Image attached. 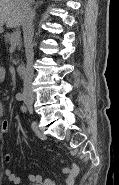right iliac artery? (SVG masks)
<instances>
[{"mask_svg":"<svg viewBox=\"0 0 119 185\" xmlns=\"http://www.w3.org/2000/svg\"><path fill=\"white\" fill-rule=\"evenodd\" d=\"M16 99H17L18 101L23 100V95L20 94V93H18V94L16 95Z\"/></svg>","mask_w":119,"mask_h":185,"instance_id":"1","label":"right iliac artery"}]
</instances>
